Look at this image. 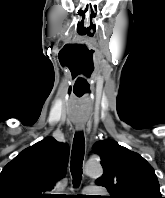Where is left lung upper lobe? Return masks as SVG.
<instances>
[{
    "instance_id": "5c2ea615",
    "label": "left lung upper lobe",
    "mask_w": 165,
    "mask_h": 198,
    "mask_svg": "<svg viewBox=\"0 0 165 198\" xmlns=\"http://www.w3.org/2000/svg\"><path fill=\"white\" fill-rule=\"evenodd\" d=\"M93 151L104 169L96 184L107 188L109 198H163L154 169L138 153L114 140L96 142Z\"/></svg>"
}]
</instances>
